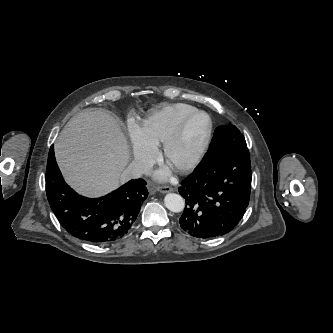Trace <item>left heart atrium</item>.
<instances>
[{
  "mask_svg": "<svg viewBox=\"0 0 333 333\" xmlns=\"http://www.w3.org/2000/svg\"><path fill=\"white\" fill-rule=\"evenodd\" d=\"M157 176L159 178H165L166 177V173L164 171H160V172H158Z\"/></svg>",
  "mask_w": 333,
  "mask_h": 333,
  "instance_id": "left-heart-atrium-1",
  "label": "left heart atrium"
}]
</instances>
